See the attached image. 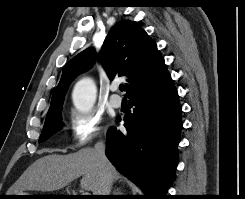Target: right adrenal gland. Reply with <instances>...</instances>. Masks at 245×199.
<instances>
[{"label":"right adrenal gland","mask_w":245,"mask_h":199,"mask_svg":"<svg viewBox=\"0 0 245 199\" xmlns=\"http://www.w3.org/2000/svg\"><path fill=\"white\" fill-rule=\"evenodd\" d=\"M114 195H122V193H121V191H120L119 188H117V189L115 190Z\"/></svg>","instance_id":"obj_1"}]
</instances>
